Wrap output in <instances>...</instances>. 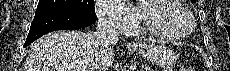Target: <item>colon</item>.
Instances as JSON below:
<instances>
[{
  "label": "colon",
  "instance_id": "5ec220e1",
  "mask_svg": "<svg viewBox=\"0 0 230 71\" xmlns=\"http://www.w3.org/2000/svg\"><path fill=\"white\" fill-rule=\"evenodd\" d=\"M181 71H191V69L183 68V69H181Z\"/></svg>",
  "mask_w": 230,
  "mask_h": 71
}]
</instances>
